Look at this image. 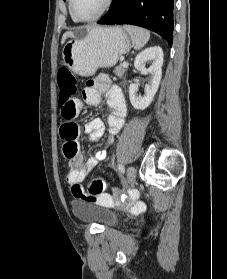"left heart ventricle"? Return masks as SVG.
Segmentation results:
<instances>
[{"label":"left heart ventricle","mask_w":227,"mask_h":279,"mask_svg":"<svg viewBox=\"0 0 227 279\" xmlns=\"http://www.w3.org/2000/svg\"><path fill=\"white\" fill-rule=\"evenodd\" d=\"M104 4V0H74L75 14L80 18H89L97 14Z\"/></svg>","instance_id":"b2bd125f"}]
</instances>
